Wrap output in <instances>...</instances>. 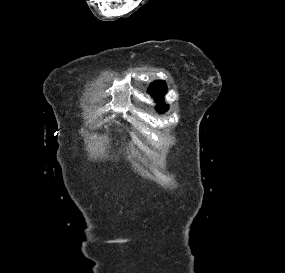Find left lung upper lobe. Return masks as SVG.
I'll return each mask as SVG.
<instances>
[{"instance_id":"5c2ea615","label":"left lung upper lobe","mask_w":285,"mask_h":273,"mask_svg":"<svg viewBox=\"0 0 285 273\" xmlns=\"http://www.w3.org/2000/svg\"><path fill=\"white\" fill-rule=\"evenodd\" d=\"M167 86L164 81H155L153 82L149 88L148 92L155 97L157 102L161 103L163 101V96L166 93ZM167 106L165 104H161L157 107L159 112H165L167 110Z\"/></svg>"}]
</instances>
